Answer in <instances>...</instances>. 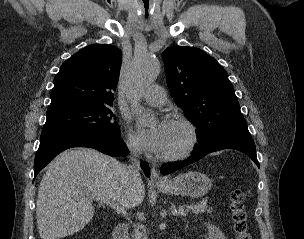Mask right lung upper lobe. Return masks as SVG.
I'll list each match as a JSON object with an SVG mask.
<instances>
[{"label":"right lung upper lobe","instance_id":"right-lung-upper-lobe-1","mask_svg":"<svg viewBox=\"0 0 304 239\" xmlns=\"http://www.w3.org/2000/svg\"><path fill=\"white\" fill-rule=\"evenodd\" d=\"M122 63V52L111 45H90L68 60L54 78L47 115L111 105Z\"/></svg>","mask_w":304,"mask_h":239}]
</instances>
